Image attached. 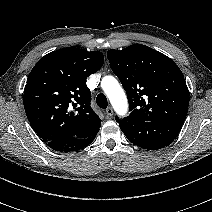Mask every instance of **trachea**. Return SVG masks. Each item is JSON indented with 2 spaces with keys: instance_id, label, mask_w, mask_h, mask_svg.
<instances>
[{
  "instance_id": "1",
  "label": "trachea",
  "mask_w": 212,
  "mask_h": 212,
  "mask_svg": "<svg viewBox=\"0 0 212 212\" xmlns=\"http://www.w3.org/2000/svg\"><path fill=\"white\" fill-rule=\"evenodd\" d=\"M96 103L102 109L107 108L108 101H107L106 96L102 93L98 94V96L96 98Z\"/></svg>"
}]
</instances>
